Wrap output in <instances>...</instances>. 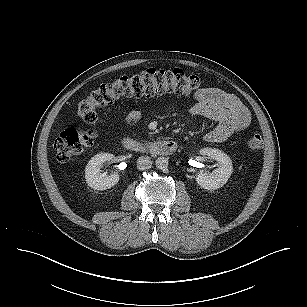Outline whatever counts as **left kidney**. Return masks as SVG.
<instances>
[{
  "instance_id": "obj_1",
  "label": "left kidney",
  "mask_w": 307,
  "mask_h": 307,
  "mask_svg": "<svg viewBox=\"0 0 307 307\" xmlns=\"http://www.w3.org/2000/svg\"><path fill=\"white\" fill-rule=\"evenodd\" d=\"M200 154L217 161V168L211 173H198L196 181L198 185L206 190H216L222 187L233 172L232 161L228 155L218 149L203 148Z\"/></svg>"
}]
</instances>
